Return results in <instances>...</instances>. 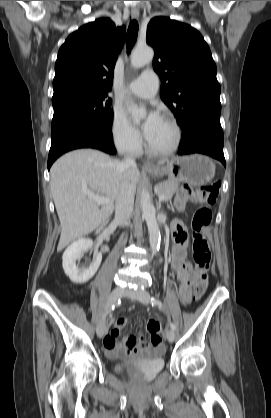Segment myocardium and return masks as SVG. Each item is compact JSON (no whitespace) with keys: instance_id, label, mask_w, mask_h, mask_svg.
<instances>
[{"instance_id":"obj_1","label":"myocardium","mask_w":271,"mask_h":418,"mask_svg":"<svg viewBox=\"0 0 271 418\" xmlns=\"http://www.w3.org/2000/svg\"><path fill=\"white\" fill-rule=\"evenodd\" d=\"M164 119H166L171 126L174 129V133H175V138L174 141L172 143V145L166 149H156L154 148L149 141H147V151L154 155V156H159V157H164V156H169L171 154H173L180 146L181 140H182V130L180 125L178 124V122L176 121V119L170 115H164L163 116Z\"/></svg>"}]
</instances>
